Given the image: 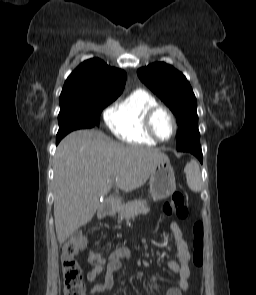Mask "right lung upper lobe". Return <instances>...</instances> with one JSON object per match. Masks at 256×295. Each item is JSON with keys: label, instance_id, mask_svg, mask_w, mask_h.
I'll return each instance as SVG.
<instances>
[{"label": "right lung upper lobe", "instance_id": "obj_1", "mask_svg": "<svg viewBox=\"0 0 256 295\" xmlns=\"http://www.w3.org/2000/svg\"><path fill=\"white\" fill-rule=\"evenodd\" d=\"M125 82L123 70L112 68L98 58L84 61L67 78L60 95V106L119 96Z\"/></svg>", "mask_w": 256, "mask_h": 295}]
</instances>
